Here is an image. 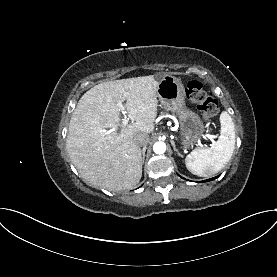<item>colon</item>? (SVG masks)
Returning a JSON list of instances; mask_svg holds the SVG:
<instances>
[{
    "mask_svg": "<svg viewBox=\"0 0 277 277\" xmlns=\"http://www.w3.org/2000/svg\"><path fill=\"white\" fill-rule=\"evenodd\" d=\"M186 96L202 112L203 119L209 121L218 113L217 100L209 95L201 82L191 80L186 85Z\"/></svg>",
    "mask_w": 277,
    "mask_h": 277,
    "instance_id": "1",
    "label": "colon"
}]
</instances>
